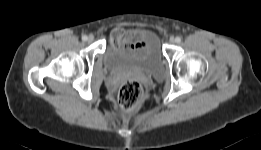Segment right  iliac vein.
Instances as JSON below:
<instances>
[{"instance_id":"63e3f726","label":"right iliac vein","mask_w":261,"mask_h":150,"mask_svg":"<svg viewBox=\"0 0 261 150\" xmlns=\"http://www.w3.org/2000/svg\"><path fill=\"white\" fill-rule=\"evenodd\" d=\"M87 40H88V42H92L94 40V36L90 35Z\"/></svg>"}]
</instances>
